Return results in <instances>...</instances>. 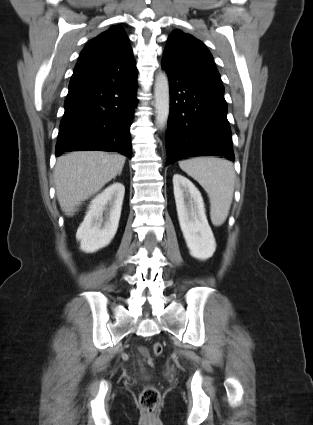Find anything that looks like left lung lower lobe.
Instances as JSON below:
<instances>
[{
  "mask_svg": "<svg viewBox=\"0 0 313 425\" xmlns=\"http://www.w3.org/2000/svg\"><path fill=\"white\" fill-rule=\"evenodd\" d=\"M162 67L170 84L166 163L194 156L234 161L222 83L190 77L163 60Z\"/></svg>",
  "mask_w": 313,
  "mask_h": 425,
  "instance_id": "obj_1",
  "label": "left lung lower lobe"
}]
</instances>
